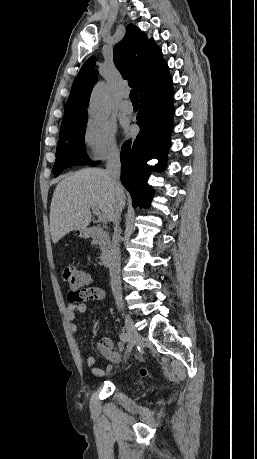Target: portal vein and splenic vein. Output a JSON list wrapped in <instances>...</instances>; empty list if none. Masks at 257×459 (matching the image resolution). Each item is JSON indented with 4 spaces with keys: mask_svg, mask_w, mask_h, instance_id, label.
<instances>
[{
    "mask_svg": "<svg viewBox=\"0 0 257 459\" xmlns=\"http://www.w3.org/2000/svg\"><path fill=\"white\" fill-rule=\"evenodd\" d=\"M93 213L97 216L98 220L101 222L105 221L104 215L97 209V208H92Z\"/></svg>",
    "mask_w": 257,
    "mask_h": 459,
    "instance_id": "obj_1",
    "label": "portal vein and splenic vein"
}]
</instances>
